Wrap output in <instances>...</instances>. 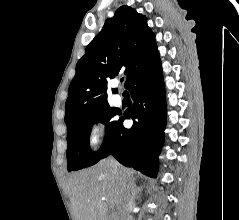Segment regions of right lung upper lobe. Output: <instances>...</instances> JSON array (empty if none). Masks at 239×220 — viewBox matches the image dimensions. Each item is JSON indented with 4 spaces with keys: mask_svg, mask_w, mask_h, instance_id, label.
Wrapping results in <instances>:
<instances>
[{
    "mask_svg": "<svg viewBox=\"0 0 239 220\" xmlns=\"http://www.w3.org/2000/svg\"><path fill=\"white\" fill-rule=\"evenodd\" d=\"M146 19L133 8L121 6L87 45L69 86L65 104L67 128L81 116L109 105V79L124 72L128 88L135 77L160 61L155 35Z\"/></svg>",
    "mask_w": 239,
    "mask_h": 220,
    "instance_id": "right-lung-upper-lobe-1",
    "label": "right lung upper lobe"
}]
</instances>
